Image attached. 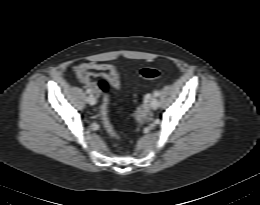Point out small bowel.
Here are the masks:
<instances>
[{
  "label": "small bowel",
  "instance_id": "obj_1",
  "mask_svg": "<svg viewBox=\"0 0 260 205\" xmlns=\"http://www.w3.org/2000/svg\"><path fill=\"white\" fill-rule=\"evenodd\" d=\"M76 78L83 83L91 92L99 95V89L93 78L96 76L107 77L111 80L112 86L119 89L121 86L120 73L116 67L106 63L85 62L77 65L74 69Z\"/></svg>",
  "mask_w": 260,
  "mask_h": 205
}]
</instances>
